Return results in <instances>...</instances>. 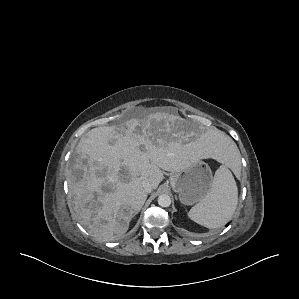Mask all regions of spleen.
I'll return each mask as SVG.
<instances>
[{
    "mask_svg": "<svg viewBox=\"0 0 299 299\" xmlns=\"http://www.w3.org/2000/svg\"><path fill=\"white\" fill-rule=\"evenodd\" d=\"M235 151L236 149L233 150L234 153ZM237 202L235 179L228 167L222 165L215 172L210 192L190 209L188 217L206 228H219L231 219Z\"/></svg>",
    "mask_w": 299,
    "mask_h": 299,
    "instance_id": "spleen-1",
    "label": "spleen"
}]
</instances>
